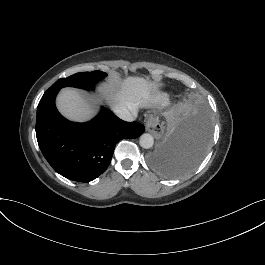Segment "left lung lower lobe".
Returning a JSON list of instances; mask_svg holds the SVG:
<instances>
[{"label":"left lung lower lobe","instance_id":"obj_1","mask_svg":"<svg viewBox=\"0 0 265 265\" xmlns=\"http://www.w3.org/2000/svg\"><path fill=\"white\" fill-rule=\"evenodd\" d=\"M211 136L210 118L198 109L150 153L148 161L168 177H178L194 169L204 157Z\"/></svg>","mask_w":265,"mask_h":265}]
</instances>
